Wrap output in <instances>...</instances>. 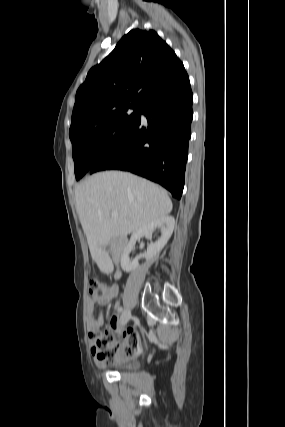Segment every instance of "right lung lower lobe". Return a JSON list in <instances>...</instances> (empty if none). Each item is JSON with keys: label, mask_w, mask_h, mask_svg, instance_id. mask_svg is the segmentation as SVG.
I'll list each match as a JSON object with an SVG mask.
<instances>
[{"label": "right lung lower lobe", "mask_w": 285, "mask_h": 427, "mask_svg": "<svg viewBox=\"0 0 285 427\" xmlns=\"http://www.w3.org/2000/svg\"><path fill=\"white\" fill-rule=\"evenodd\" d=\"M193 95L183 69L153 88L140 104L141 115L124 141L90 174L102 170H124L161 184L180 199L184 187L193 118Z\"/></svg>", "instance_id": "obj_1"}]
</instances>
